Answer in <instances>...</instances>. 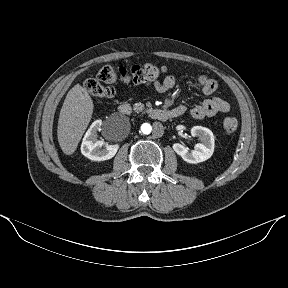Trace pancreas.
<instances>
[{
  "label": "pancreas",
  "mask_w": 288,
  "mask_h": 288,
  "mask_svg": "<svg viewBox=\"0 0 288 288\" xmlns=\"http://www.w3.org/2000/svg\"><path fill=\"white\" fill-rule=\"evenodd\" d=\"M133 109H134V111L137 112V113H139V112L145 113V112H148V111H149V109H146L145 106H144V104H142L141 102L135 103Z\"/></svg>",
  "instance_id": "obj_1"
}]
</instances>
